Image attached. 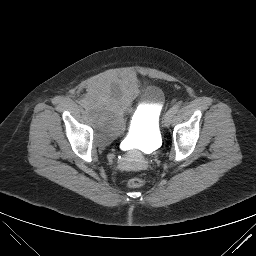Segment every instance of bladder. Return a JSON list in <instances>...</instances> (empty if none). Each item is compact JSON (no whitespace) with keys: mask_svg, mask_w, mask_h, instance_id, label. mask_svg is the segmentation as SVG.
<instances>
[{"mask_svg":"<svg viewBox=\"0 0 256 256\" xmlns=\"http://www.w3.org/2000/svg\"><path fill=\"white\" fill-rule=\"evenodd\" d=\"M140 97L144 105L132 121L128 135L148 146L159 141V120L165 102L162 89L154 85L141 88L134 78L110 75L99 79L85 98V109L98 143L109 144L124 133V116Z\"/></svg>","mask_w":256,"mask_h":256,"instance_id":"obj_1","label":"bladder"}]
</instances>
